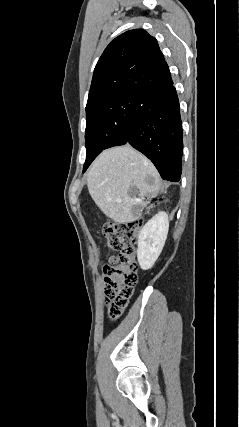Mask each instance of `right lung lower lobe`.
Listing matches in <instances>:
<instances>
[{
	"label": "right lung lower lobe",
	"instance_id": "right-lung-lower-lobe-1",
	"mask_svg": "<svg viewBox=\"0 0 239 427\" xmlns=\"http://www.w3.org/2000/svg\"><path fill=\"white\" fill-rule=\"evenodd\" d=\"M124 144H130L148 157L164 180H180L183 133L173 83L142 96L132 117L128 137L120 145Z\"/></svg>",
	"mask_w": 239,
	"mask_h": 427
}]
</instances>
